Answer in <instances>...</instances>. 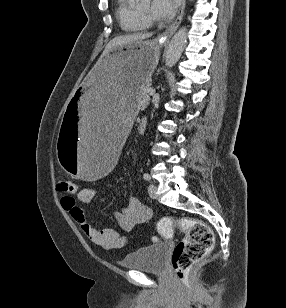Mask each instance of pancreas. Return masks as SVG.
Masks as SVG:
<instances>
[{
  "instance_id": "cf45deb5",
  "label": "pancreas",
  "mask_w": 286,
  "mask_h": 308,
  "mask_svg": "<svg viewBox=\"0 0 286 308\" xmlns=\"http://www.w3.org/2000/svg\"><path fill=\"white\" fill-rule=\"evenodd\" d=\"M149 89H150V83L146 82L143 86L140 87L139 90V103L140 105H147L150 101L149 98Z\"/></svg>"
}]
</instances>
